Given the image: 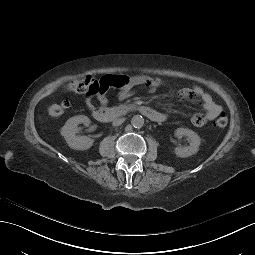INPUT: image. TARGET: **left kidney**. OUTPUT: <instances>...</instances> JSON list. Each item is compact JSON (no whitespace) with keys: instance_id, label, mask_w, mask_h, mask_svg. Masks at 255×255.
Masks as SVG:
<instances>
[{"instance_id":"5707ae66","label":"left kidney","mask_w":255,"mask_h":255,"mask_svg":"<svg viewBox=\"0 0 255 255\" xmlns=\"http://www.w3.org/2000/svg\"><path fill=\"white\" fill-rule=\"evenodd\" d=\"M176 135L178 137H186L188 141H190V145L187 147H176L174 149V153L179 158H189L194 154H197L199 151V147L201 145V138L197 133L190 129L180 128L176 131Z\"/></svg>"}]
</instances>
